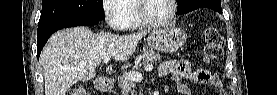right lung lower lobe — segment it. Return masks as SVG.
<instances>
[{"label":"right lung lower lobe","instance_id":"98d812e1","mask_svg":"<svg viewBox=\"0 0 277 95\" xmlns=\"http://www.w3.org/2000/svg\"><path fill=\"white\" fill-rule=\"evenodd\" d=\"M99 20H88L83 22H57L51 23L45 26L38 27L37 30V54L38 58L41 53V50L48 38L57 30L66 28V27H74V26H83V25H95L98 24Z\"/></svg>","mask_w":277,"mask_h":95}]
</instances>
